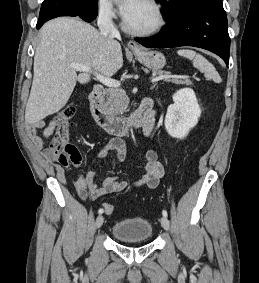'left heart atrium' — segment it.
<instances>
[{
    "mask_svg": "<svg viewBox=\"0 0 259 283\" xmlns=\"http://www.w3.org/2000/svg\"><path fill=\"white\" fill-rule=\"evenodd\" d=\"M119 4L120 13L123 18H126L136 7L139 0H117Z\"/></svg>",
    "mask_w": 259,
    "mask_h": 283,
    "instance_id": "39dd6f15",
    "label": "left heart atrium"
}]
</instances>
